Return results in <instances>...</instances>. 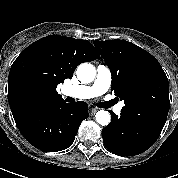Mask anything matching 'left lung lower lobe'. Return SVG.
<instances>
[{"instance_id":"0a47b994","label":"left lung lower lobe","mask_w":178,"mask_h":178,"mask_svg":"<svg viewBox=\"0 0 178 178\" xmlns=\"http://www.w3.org/2000/svg\"><path fill=\"white\" fill-rule=\"evenodd\" d=\"M111 122L103 128L102 136L106 148L120 156L143 153L158 139L162 129L121 113L111 112Z\"/></svg>"}]
</instances>
